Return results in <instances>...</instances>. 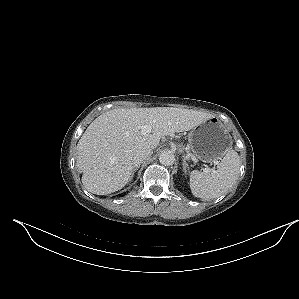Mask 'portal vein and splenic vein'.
Segmentation results:
<instances>
[{
    "mask_svg": "<svg viewBox=\"0 0 299 299\" xmlns=\"http://www.w3.org/2000/svg\"><path fill=\"white\" fill-rule=\"evenodd\" d=\"M151 132H152V127L150 125H143L141 127V133L142 134H149ZM206 170L209 171L210 169L207 168Z\"/></svg>",
    "mask_w": 299,
    "mask_h": 299,
    "instance_id": "1",
    "label": "portal vein and splenic vein"
}]
</instances>
